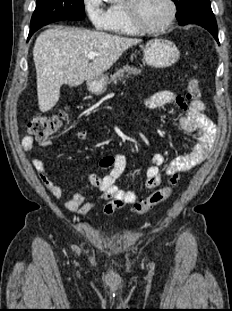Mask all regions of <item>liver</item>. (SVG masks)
<instances>
[{
    "label": "liver",
    "instance_id": "1",
    "mask_svg": "<svg viewBox=\"0 0 232 311\" xmlns=\"http://www.w3.org/2000/svg\"><path fill=\"white\" fill-rule=\"evenodd\" d=\"M140 42V39L66 27L42 32L33 48L40 111L47 112L56 105L64 83L74 87L102 75L128 48ZM89 52L97 53L91 63L87 58Z\"/></svg>",
    "mask_w": 232,
    "mask_h": 311
}]
</instances>
